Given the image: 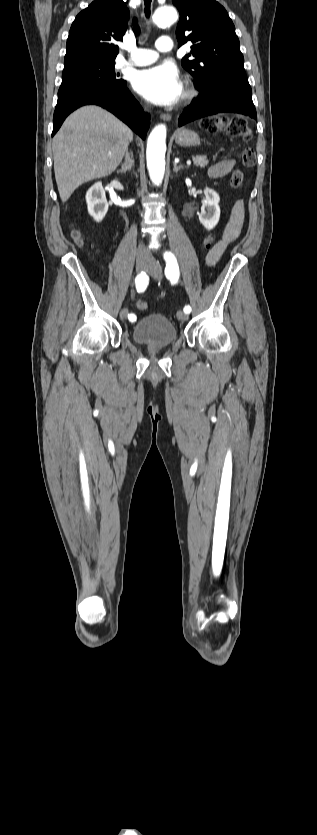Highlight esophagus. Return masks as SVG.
<instances>
[{
	"label": "esophagus",
	"instance_id": "34e87169",
	"mask_svg": "<svg viewBox=\"0 0 317 835\" xmlns=\"http://www.w3.org/2000/svg\"><path fill=\"white\" fill-rule=\"evenodd\" d=\"M160 117H161L162 120L167 121V122H169L171 120V115L170 114L163 113V114L160 115Z\"/></svg>",
	"mask_w": 317,
	"mask_h": 835
}]
</instances>
